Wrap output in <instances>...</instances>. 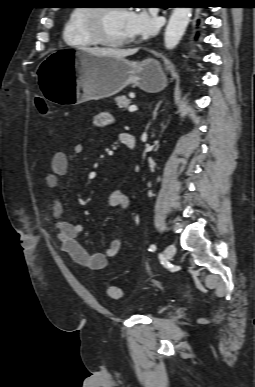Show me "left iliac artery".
<instances>
[{"instance_id": "44dca946", "label": "left iliac artery", "mask_w": 255, "mask_h": 387, "mask_svg": "<svg viewBox=\"0 0 255 387\" xmlns=\"http://www.w3.org/2000/svg\"><path fill=\"white\" fill-rule=\"evenodd\" d=\"M156 250V246L154 244L150 245L149 251L154 252Z\"/></svg>"}]
</instances>
